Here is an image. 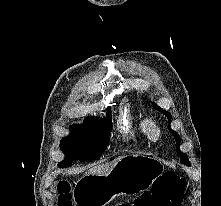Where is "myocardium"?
<instances>
[{
    "label": "myocardium",
    "mask_w": 221,
    "mask_h": 206,
    "mask_svg": "<svg viewBox=\"0 0 221 206\" xmlns=\"http://www.w3.org/2000/svg\"><path fill=\"white\" fill-rule=\"evenodd\" d=\"M143 128L146 137L149 140L156 142L161 137L160 127L153 119L150 118L144 119Z\"/></svg>",
    "instance_id": "f54148a6"
}]
</instances>
